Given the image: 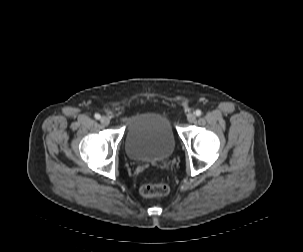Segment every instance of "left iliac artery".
<instances>
[{
	"label": "left iliac artery",
	"instance_id": "obj_1",
	"mask_svg": "<svg viewBox=\"0 0 303 252\" xmlns=\"http://www.w3.org/2000/svg\"><path fill=\"white\" fill-rule=\"evenodd\" d=\"M195 114H196V116H200L201 115V110H196V112H195Z\"/></svg>",
	"mask_w": 303,
	"mask_h": 252
}]
</instances>
